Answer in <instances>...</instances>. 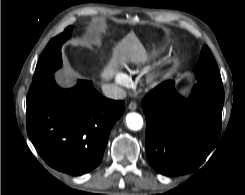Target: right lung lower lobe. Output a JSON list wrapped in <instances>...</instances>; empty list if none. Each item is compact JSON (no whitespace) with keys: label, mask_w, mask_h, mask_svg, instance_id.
<instances>
[{"label":"right lung lower lobe","mask_w":245,"mask_h":195,"mask_svg":"<svg viewBox=\"0 0 245 195\" xmlns=\"http://www.w3.org/2000/svg\"><path fill=\"white\" fill-rule=\"evenodd\" d=\"M125 104L102 97L90 81L60 88L53 75L33 82L27 96L28 136L45 162L79 176L97 167Z\"/></svg>","instance_id":"right-lung-lower-lobe-1"}]
</instances>
